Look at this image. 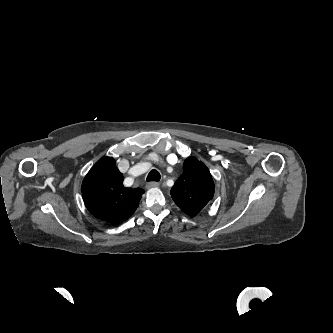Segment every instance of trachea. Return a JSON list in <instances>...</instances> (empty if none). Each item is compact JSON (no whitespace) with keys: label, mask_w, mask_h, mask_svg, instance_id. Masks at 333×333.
I'll return each mask as SVG.
<instances>
[{"label":"trachea","mask_w":333,"mask_h":333,"mask_svg":"<svg viewBox=\"0 0 333 333\" xmlns=\"http://www.w3.org/2000/svg\"><path fill=\"white\" fill-rule=\"evenodd\" d=\"M147 181H159L160 180V174L157 170L153 169L149 172L147 176Z\"/></svg>","instance_id":"3493384b"}]
</instances>
